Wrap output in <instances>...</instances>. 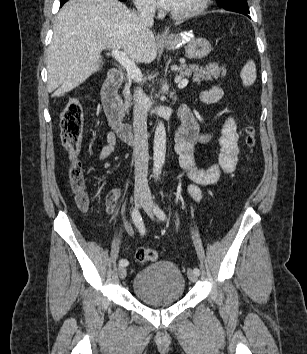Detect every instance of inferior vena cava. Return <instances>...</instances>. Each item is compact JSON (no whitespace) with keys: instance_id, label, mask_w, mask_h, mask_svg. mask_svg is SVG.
Instances as JSON below:
<instances>
[{"instance_id":"obj_1","label":"inferior vena cava","mask_w":307,"mask_h":354,"mask_svg":"<svg viewBox=\"0 0 307 354\" xmlns=\"http://www.w3.org/2000/svg\"><path fill=\"white\" fill-rule=\"evenodd\" d=\"M137 10L141 25L144 28L151 27L154 23L155 8L148 4H138ZM133 97L135 101L133 109L135 192L149 194L146 95L141 89H136Z\"/></svg>"}]
</instances>
